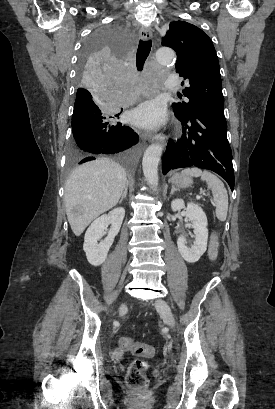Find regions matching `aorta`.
I'll return each instance as SVG.
<instances>
[{"label":"aorta","mask_w":275,"mask_h":409,"mask_svg":"<svg viewBox=\"0 0 275 409\" xmlns=\"http://www.w3.org/2000/svg\"><path fill=\"white\" fill-rule=\"evenodd\" d=\"M155 57L160 64H171V62H174L175 52L171 48H159ZM162 150V144L155 142V144H149L144 152L142 160L143 172L147 182L152 184V186H157L158 184V162Z\"/></svg>","instance_id":"762f6f07"}]
</instances>
